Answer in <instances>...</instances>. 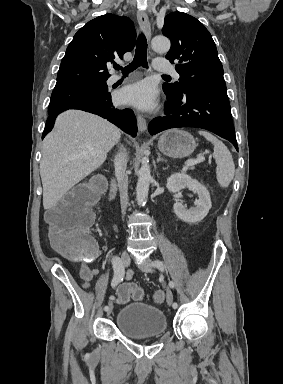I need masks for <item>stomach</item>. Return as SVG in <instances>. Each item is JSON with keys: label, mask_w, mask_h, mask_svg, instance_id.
<instances>
[{"label": "stomach", "mask_w": 283, "mask_h": 384, "mask_svg": "<svg viewBox=\"0 0 283 384\" xmlns=\"http://www.w3.org/2000/svg\"><path fill=\"white\" fill-rule=\"evenodd\" d=\"M195 148L193 136L183 130H168L162 134L158 142V150L169 158H186L194 152Z\"/></svg>", "instance_id": "0dacf381"}]
</instances>
